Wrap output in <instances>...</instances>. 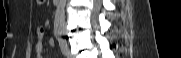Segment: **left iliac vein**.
Wrapping results in <instances>:
<instances>
[{"label":"left iliac vein","instance_id":"left-iliac-vein-1","mask_svg":"<svg viewBox=\"0 0 181 58\" xmlns=\"http://www.w3.org/2000/svg\"><path fill=\"white\" fill-rule=\"evenodd\" d=\"M67 58H72V56H71V53H70V51L68 50V52H67Z\"/></svg>","mask_w":181,"mask_h":58}]
</instances>
